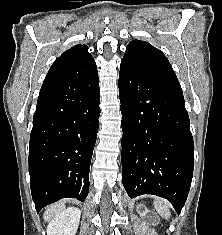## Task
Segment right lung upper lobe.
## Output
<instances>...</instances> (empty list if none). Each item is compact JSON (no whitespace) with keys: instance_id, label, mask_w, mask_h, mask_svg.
Masks as SVG:
<instances>
[{"instance_id":"right-lung-upper-lobe-1","label":"right lung upper lobe","mask_w":222,"mask_h":235,"mask_svg":"<svg viewBox=\"0 0 222 235\" xmlns=\"http://www.w3.org/2000/svg\"><path fill=\"white\" fill-rule=\"evenodd\" d=\"M97 71L96 63L86 45H75L58 57L44 81L66 82Z\"/></svg>"}]
</instances>
